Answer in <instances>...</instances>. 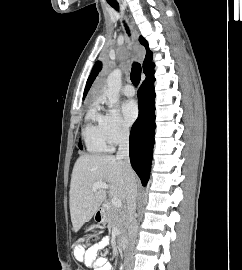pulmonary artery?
Listing matches in <instances>:
<instances>
[{"instance_id":"1","label":"pulmonary artery","mask_w":242,"mask_h":270,"mask_svg":"<svg viewBox=\"0 0 242 270\" xmlns=\"http://www.w3.org/2000/svg\"><path fill=\"white\" fill-rule=\"evenodd\" d=\"M123 94L127 97H133L135 95V89L132 85H126L123 88Z\"/></svg>"}]
</instances>
